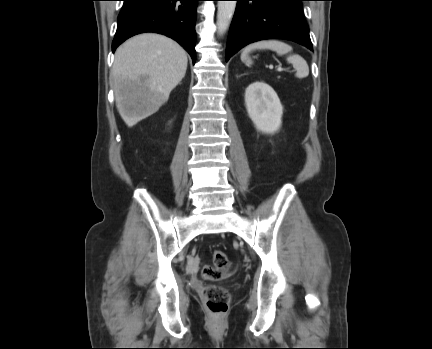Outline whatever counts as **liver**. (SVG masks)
<instances>
[{
	"label": "liver",
	"mask_w": 432,
	"mask_h": 349,
	"mask_svg": "<svg viewBox=\"0 0 432 349\" xmlns=\"http://www.w3.org/2000/svg\"><path fill=\"white\" fill-rule=\"evenodd\" d=\"M185 50L155 33L136 35L117 48L112 67L117 109L131 127L156 113L187 69Z\"/></svg>",
	"instance_id": "liver-1"
}]
</instances>
